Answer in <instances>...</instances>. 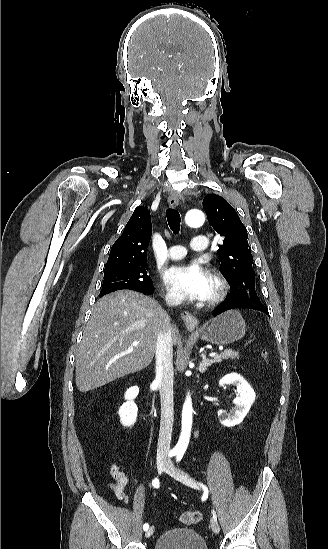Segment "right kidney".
Listing matches in <instances>:
<instances>
[{"label": "right kidney", "mask_w": 328, "mask_h": 549, "mask_svg": "<svg viewBox=\"0 0 328 549\" xmlns=\"http://www.w3.org/2000/svg\"><path fill=\"white\" fill-rule=\"evenodd\" d=\"M139 393L138 387H130L125 393L126 403L119 409L120 421L124 427H131L137 421L138 407L134 403Z\"/></svg>", "instance_id": "obj_1"}]
</instances>
